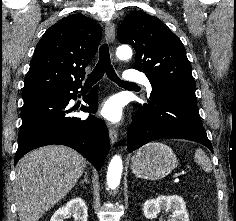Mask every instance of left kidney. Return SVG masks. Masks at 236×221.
Segmentation results:
<instances>
[{
  "label": "left kidney",
  "instance_id": "obj_1",
  "mask_svg": "<svg viewBox=\"0 0 236 221\" xmlns=\"http://www.w3.org/2000/svg\"><path fill=\"white\" fill-rule=\"evenodd\" d=\"M161 211H172V219L168 221H189L184 200L178 196H158L144 203L143 213L147 219H154Z\"/></svg>",
  "mask_w": 236,
  "mask_h": 221
}]
</instances>
